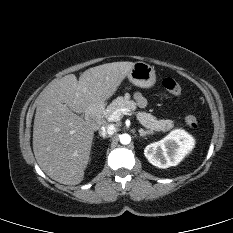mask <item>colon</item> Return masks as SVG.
<instances>
[{"label": "colon", "mask_w": 233, "mask_h": 233, "mask_svg": "<svg viewBox=\"0 0 233 233\" xmlns=\"http://www.w3.org/2000/svg\"><path fill=\"white\" fill-rule=\"evenodd\" d=\"M163 87L173 95H179L182 91L181 85L172 77H165L162 81ZM185 122L189 127L196 128L198 125V119L194 115H188L185 118Z\"/></svg>", "instance_id": "colon-1"}]
</instances>
